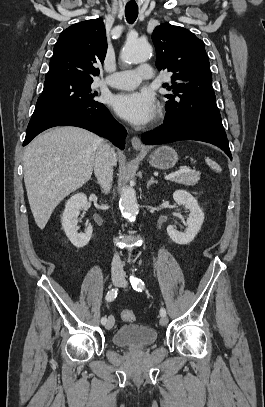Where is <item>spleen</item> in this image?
Returning <instances> with one entry per match:
<instances>
[{
  "instance_id": "obj_1",
  "label": "spleen",
  "mask_w": 265,
  "mask_h": 407,
  "mask_svg": "<svg viewBox=\"0 0 265 407\" xmlns=\"http://www.w3.org/2000/svg\"><path fill=\"white\" fill-rule=\"evenodd\" d=\"M205 162L207 163V165L209 167H211L216 172H221V170H222L221 167L215 161H213L210 158L206 157Z\"/></svg>"
}]
</instances>
